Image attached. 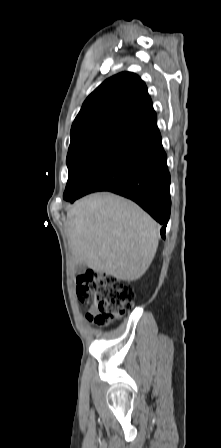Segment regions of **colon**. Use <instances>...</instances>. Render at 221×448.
Returning <instances> with one entry per match:
<instances>
[{"instance_id":"obj_1","label":"colon","mask_w":221,"mask_h":448,"mask_svg":"<svg viewBox=\"0 0 221 448\" xmlns=\"http://www.w3.org/2000/svg\"><path fill=\"white\" fill-rule=\"evenodd\" d=\"M78 300L94 308L88 318L98 325H108L133 306V288L114 276L88 270L77 276Z\"/></svg>"}]
</instances>
